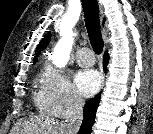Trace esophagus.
Listing matches in <instances>:
<instances>
[{
    "label": "esophagus",
    "mask_w": 153,
    "mask_h": 134,
    "mask_svg": "<svg viewBox=\"0 0 153 134\" xmlns=\"http://www.w3.org/2000/svg\"><path fill=\"white\" fill-rule=\"evenodd\" d=\"M99 7H100V13L102 14L103 10L101 4H99Z\"/></svg>",
    "instance_id": "1"
}]
</instances>
